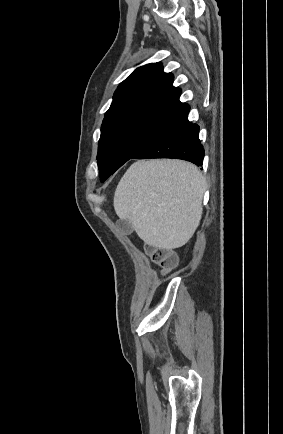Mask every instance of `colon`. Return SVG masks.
<instances>
[{"label":"colon","mask_w":283,"mask_h":434,"mask_svg":"<svg viewBox=\"0 0 283 434\" xmlns=\"http://www.w3.org/2000/svg\"><path fill=\"white\" fill-rule=\"evenodd\" d=\"M148 253L151 257V260L162 269L164 274L168 273L176 266V256L168 249L148 247Z\"/></svg>","instance_id":"5ec220e1"}]
</instances>
